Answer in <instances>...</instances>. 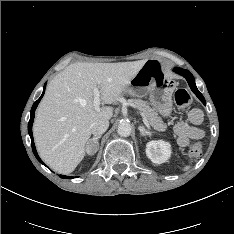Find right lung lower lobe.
I'll return each instance as SVG.
<instances>
[{
  "mask_svg": "<svg viewBox=\"0 0 234 234\" xmlns=\"http://www.w3.org/2000/svg\"><path fill=\"white\" fill-rule=\"evenodd\" d=\"M45 87H46V84L44 85V90H43V93L41 95V97L33 104L32 106V109H31V115H30V120H29V123H28V132H29V135L31 137V145H32V150H33V153L35 155V157L37 158V160L44 164L41 159L39 158L38 154H37V151H36V148H35V145H34V141H33V135H32V124H33V120H34V112H35V109L37 108L38 106V103L40 102L41 98L43 97L44 95V92H45ZM61 178H72V177H66V176H62L60 175Z\"/></svg>",
  "mask_w": 234,
  "mask_h": 234,
  "instance_id": "obj_1",
  "label": "right lung lower lobe"
}]
</instances>
